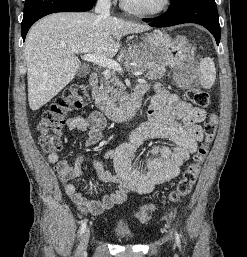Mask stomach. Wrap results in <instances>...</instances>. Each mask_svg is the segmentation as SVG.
I'll use <instances>...</instances> for the list:
<instances>
[{
  "instance_id": "0dacf381",
  "label": "stomach",
  "mask_w": 247,
  "mask_h": 257,
  "mask_svg": "<svg viewBox=\"0 0 247 257\" xmlns=\"http://www.w3.org/2000/svg\"><path fill=\"white\" fill-rule=\"evenodd\" d=\"M190 55L189 47L181 38H173L166 32L154 31L142 37L136 47V56L143 62L151 61L168 65L172 68L183 64Z\"/></svg>"
}]
</instances>
